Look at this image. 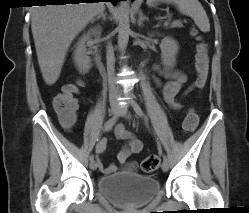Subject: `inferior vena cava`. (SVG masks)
I'll use <instances>...</instances> for the list:
<instances>
[{
  "instance_id": "inferior-vena-cava-1",
  "label": "inferior vena cava",
  "mask_w": 249,
  "mask_h": 213,
  "mask_svg": "<svg viewBox=\"0 0 249 213\" xmlns=\"http://www.w3.org/2000/svg\"><path fill=\"white\" fill-rule=\"evenodd\" d=\"M106 59H107V74L109 79V88L110 91L116 92L118 88L116 87L114 83V52L113 47L111 43L107 44L106 47Z\"/></svg>"
}]
</instances>
